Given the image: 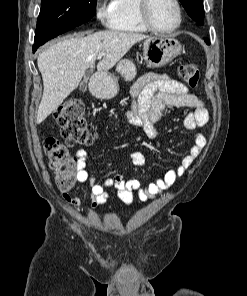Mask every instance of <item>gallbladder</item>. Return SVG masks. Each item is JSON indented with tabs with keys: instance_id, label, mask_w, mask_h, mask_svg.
Returning <instances> with one entry per match:
<instances>
[{
	"instance_id": "obj_1",
	"label": "gallbladder",
	"mask_w": 247,
	"mask_h": 296,
	"mask_svg": "<svg viewBox=\"0 0 247 296\" xmlns=\"http://www.w3.org/2000/svg\"><path fill=\"white\" fill-rule=\"evenodd\" d=\"M87 81H88V75H85L84 80L81 82V84L79 86V89L83 92L86 91V89H87Z\"/></svg>"
}]
</instances>
